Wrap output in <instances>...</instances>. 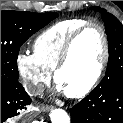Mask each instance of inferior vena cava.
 <instances>
[{"instance_id":"inferior-vena-cava-1","label":"inferior vena cava","mask_w":123,"mask_h":123,"mask_svg":"<svg viewBox=\"0 0 123 123\" xmlns=\"http://www.w3.org/2000/svg\"><path fill=\"white\" fill-rule=\"evenodd\" d=\"M25 89L32 96L40 95L43 93V88L40 85L28 84L25 86Z\"/></svg>"}]
</instances>
